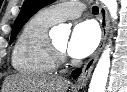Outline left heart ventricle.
Instances as JSON below:
<instances>
[{
	"instance_id": "obj_1",
	"label": "left heart ventricle",
	"mask_w": 127,
	"mask_h": 92,
	"mask_svg": "<svg viewBox=\"0 0 127 92\" xmlns=\"http://www.w3.org/2000/svg\"><path fill=\"white\" fill-rule=\"evenodd\" d=\"M53 41L57 45V47H59L62 50H65L68 37H60V38L54 39Z\"/></svg>"
}]
</instances>
